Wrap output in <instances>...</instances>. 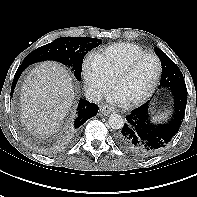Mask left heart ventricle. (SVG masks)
Listing matches in <instances>:
<instances>
[{
    "label": "left heart ventricle",
    "instance_id": "b2bd125f",
    "mask_svg": "<svg viewBox=\"0 0 197 197\" xmlns=\"http://www.w3.org/2000/svg\"><path fill=\"white\" fill-rule=\"evenodd\" d=\"M156 73V61L151 57L144 58L127 77L120 81L116 93L123 101L139 97L149 89Z\"/></svg>",
    "mask_w": 197,
    "mask_h": 197
}]
</instances>
